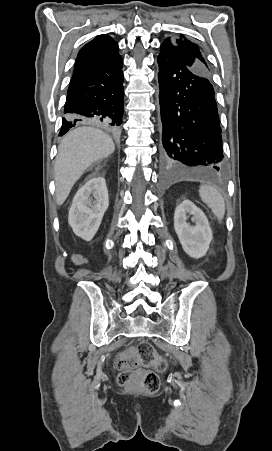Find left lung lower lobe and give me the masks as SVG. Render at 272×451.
<instances>
[{
	"mask_svg": "<svg viewBox=\"0 0 272 451\" xmlns=\"http://www.w3.org/2000/svg\"><path fill=\"white\" fill-rule=\"evenodd\" d=\"M160 49L162 163L173 169L222 170V131L209 72L172 38L165 39Z\"/></svg>",
	"mask_w": 272,
	"mask_h": 451,
	"instance_id": "left-lung-lower-lobe-1",
	"label": "left lung lower lobe"
}]
</instances>
